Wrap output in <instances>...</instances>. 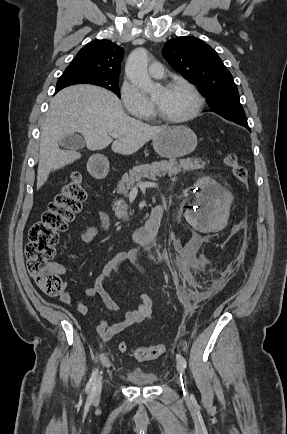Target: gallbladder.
Masks as SVG:
<instances>
[{
  "mask_svg": "<svg viewBox=\"0 0 287 434\" xmlns=\"http://www.w3.org/2000/svg\"><path fill=\"white\" fill-rule=\"evenodd\" d=\"M60 146L68 151H77L85 146V140L78 134H70L63 137Z\"/></svg>",
  "mask_w": 287,
  "mask_h": 434,
  "instance_id": "1",
  "label": "gallbladder"
}]
</instances>
